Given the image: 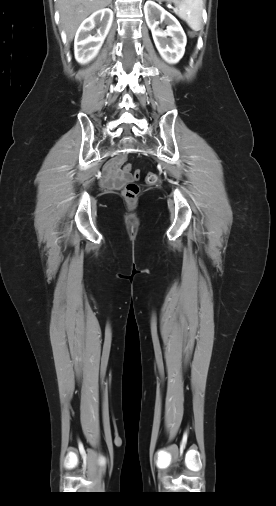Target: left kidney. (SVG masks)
Masks as SVG:
<instances>
[{"label": "left kidney", "mask_w": 276, "mask_h": 506, "mask_svg": "<svg viewBox=\"0 0 276 506\" xmlns=\"http://www.w3.org/2000/svg\"><path fill=\"white\" fill-rule=\"evenodd\" d=\"M144 14L154 43L162 58L168 63H177L184 55L187 38L178 20L154 1L148 0L144 5ZM160 18L167 24L163 31L158 27ZM167 36L171 39L168 40Z\"/></svg>", "instance_id": "5707ae66"}]
</instances>
